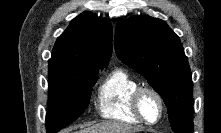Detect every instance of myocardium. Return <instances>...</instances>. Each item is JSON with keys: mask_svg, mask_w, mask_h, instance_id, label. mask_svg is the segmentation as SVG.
<instances>
[{"mask_svg": "<svg viewBox=\"0 0 221 133\" xmlns=\"http://www.w3.org/2000/svg\"><path fill=\"white\" fill-rule=\"evenodd\" d=\"M147 94L152 95L157 100L159 104V108H160L159 117L157 118V120L153 122L145 118L143 111H142V107H141L142 98L143 96ZM131 107H132L133 113L140 120V122L149 126H154L158 124L165 115V102H164L162 95L155 88L149 87V86H140L133 93L132 99H131Z\"/></svg>", "mask_w": 221, "mask_h": 133, "instance_id": "obj_1", "label": "myocardium"}]
</instances>
